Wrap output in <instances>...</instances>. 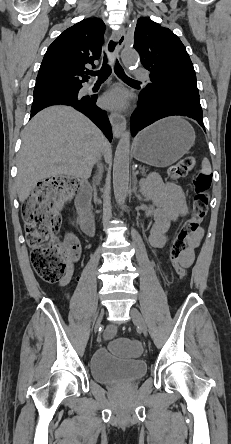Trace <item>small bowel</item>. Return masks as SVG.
Returning <instances> with one entry per match:
<instances>
[{
	"label": "small bowel",
	"mask_w": 231,
	"mask_h": 444,
	"mask_svg": "<svg viewBox=\"0 0 231 444\" xmlns=\"http://www.w3.org/2000/svg\"><path fill=\"white\" fill-rule=\"evenodd\" d=\"M146 195L153 201L155 210L153 211L155 223L152 226L149 242L154 252L162 248L167 242V231L170 223L180 216L188 213L185 195L180 186L162 181L158 176L150 177L144 186ZM203 230L199 229L189 240L188 247L182 256V262L186 267L193 264L195 251L200 244ZM64 246L68 252L76 258L80 255V244L77 237L68 233L65 237ZM72 277L69 270L66 276L60 281V286H65ZM167 279V274H165ZM69 299L68 294H64ZM115 333V328L110 327L106 331V337L111 338Z\"/></svg>",
	"instance_id": "obj_1"
}]
</instances>
